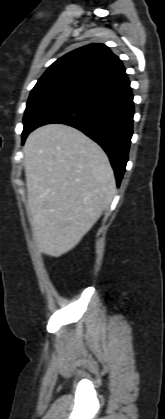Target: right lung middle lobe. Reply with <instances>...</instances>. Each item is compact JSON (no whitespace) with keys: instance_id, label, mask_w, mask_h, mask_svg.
Wrapping results in <instances>:
<instances>
[{"instance_id":"right-lung-middle-lobe-1","label":"right lung middle lobe","mask_w":165,"mask_h":419,"mask_svg":"<svg viewBox=\"0 0 165 419\" xmlns=\"http://www.w3.org/2000/svg\"><path fill=\"white\" fill-rule=\"evenodd\" d=\"M82 95L84 94L80 91L63 87H46L32 90L23 118L22 142L45 115Z\"/></svg>"}]
</instances>
